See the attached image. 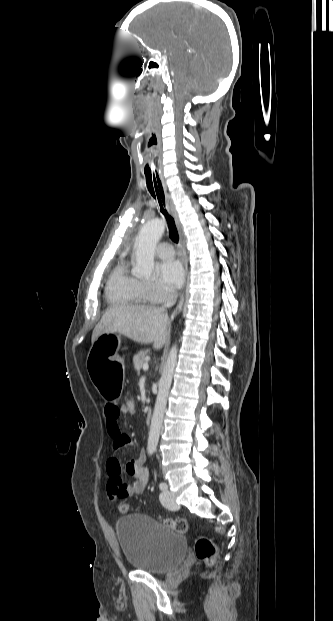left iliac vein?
I'll list each match as a JSON object with an SVG mask.
<instances>
[{
  "mask_svg": "<svg viewBox=\"0 0 333 621\" xmlns=\"http://www.w3.org/2000/svg\"><path fill=\"white\" fill-rule=\"evenodd\" d=\"M160 501L164 507L170 510H177L179 506L176 503L173 494L166 488L160 495Z\"/></svg>",
  "mask_w": 333,
  "mask_h": 621,
  "instance_id": "obj_1",
  "label": "left iliac vein"
}]
</instances>
